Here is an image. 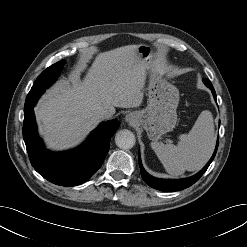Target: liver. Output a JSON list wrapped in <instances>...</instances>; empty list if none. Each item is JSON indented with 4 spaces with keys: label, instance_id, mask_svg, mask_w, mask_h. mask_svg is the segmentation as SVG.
Instances as JSON below:
<instances>
[{
    "label": "liver",
    "instance_id": "liver-1",
    "mask_svg": "<svg viewBox=\"0 0 247 247\" xmlns=\"http://www.w3.org/2000/svg\"><path fill=\"white\" fill-rule=\"evenodd\" d=\"M127 45L96 56L86 76L50 89L35 114L47 145L62 150L74 147L98 125L100 110L139 107L144 98L147 63Z\"/></svg>",
    "mask_w": 247,
    "mask_h": 247
}]
</instances>
